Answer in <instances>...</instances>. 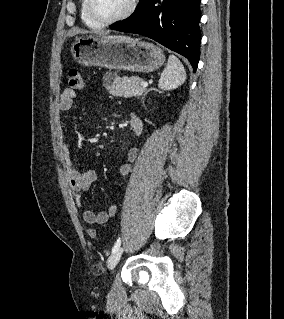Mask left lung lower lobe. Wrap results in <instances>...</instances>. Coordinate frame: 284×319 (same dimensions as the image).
<instances>
[{
  "label": "left lung lower lobe",
  "mask_w": 284,
  "mask_h": 319,
  "mask_svg": "<svg viewBox=\"0 0 284 319\" xmlns=\"http://www.w3.org/2000/svg\"><path fill=\"white\" fill-rule=\"evenodd\" d=\"M201 0H141L135 12L110 29L149 37L186 57L195 72L200 57Z\"/></svg>",
  "instance_id": "0a47b994"
}]
</instances>
